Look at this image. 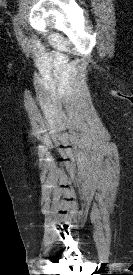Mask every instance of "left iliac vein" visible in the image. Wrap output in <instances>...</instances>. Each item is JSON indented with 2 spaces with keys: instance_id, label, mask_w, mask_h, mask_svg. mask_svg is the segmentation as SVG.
<instances>
[{
  "instance_id": "obj_1",
  "label": "left iliac vein",
  "mask_w": 133,
  "mask_h": 275,
  "mask_svg": "<svg viewBox=\"0 0 133 275\" xmlns=\"http://www.w3.org/2000/svg\"><path fill=\"white\" fill-rule=\"evenodd\" d=\"M15 31L18 33V38L21 42L26 41V37L19 23L15 24Z\"/></svg>"
}]
</instances>
